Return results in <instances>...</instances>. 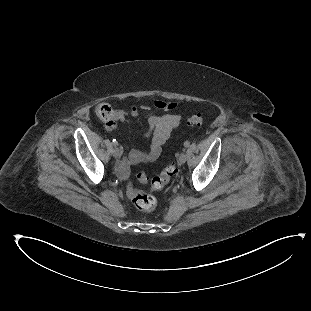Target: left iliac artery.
<instances>
[{
    "instance_id": "obj_1",
    "label": "left iliac artery",
    "mask_w": 311,
    "mask_h": 311,
    "mask_svg": "<svg viewBox=\"0 0 311 311\" xmlns=\"http://www.w3.org/2000/svg\"><path fill=\"white\" fill-rule=\"evenodd\" d=\"M190 145V142L189 141H186L185 143H184V146L185 147H188Z\"/></svg>"
}]
</instances>
